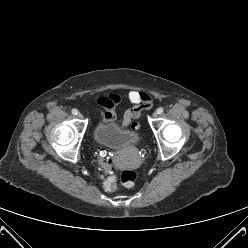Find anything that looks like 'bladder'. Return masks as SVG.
Listing matches in <instances>:
<instances>
[{
	"label": "bladder",
	"instance_id": "31cf9c89",
	"mask_svg": "<svg viewBox=\"0 0 248 248\" xmlns=\"http://www.w3.org/2000/svg\"><path fill=\"white\" fill-rule=\"evenodd\" d=\"M140 135L133 130L122 128L113 122H101L93 131V139L100 145L121 149L137 143Z\"/></svg>",
	"mask_w": 248,
	"mask_h": 248
}]
</instances>
